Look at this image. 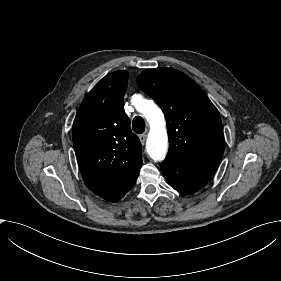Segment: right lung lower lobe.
Wrapping results in <instances>:
<instances>
[{"mask_svg":"<svg viewBox=\"0 0 281 281\" xmlns=\"http://www.w3.org/2000/svg\"><path fill=\"white\" fill-rule=\"evenodd\" d=\"M140 168L141 166L138 167L120 187H118L111 195L104 199L111 202L121 199L135 184Z\"/></svg>","mask_w":281,"mask_h":281,"instance_id":"obj_1","label":"right lung lower lobe"}]
</instances>
